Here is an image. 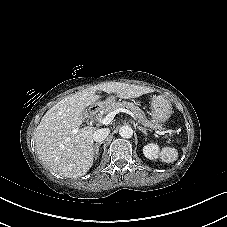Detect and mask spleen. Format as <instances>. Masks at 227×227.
<instances>
[{"label":"spleen","instance_id":"3e777b00","mask_svg":"<svg viewBox=\"0 0 227 227\" xmlns=\"http://www.w3.org/2000/svg\"><path fill=\"white\" fill-rule=\"evenodd\" d=\"M161 159L165 163H173L178 159V152L175 148L164 147L160 153Z\"/></svg>","mask_w":227,"mask_h":227}]
</instances>
